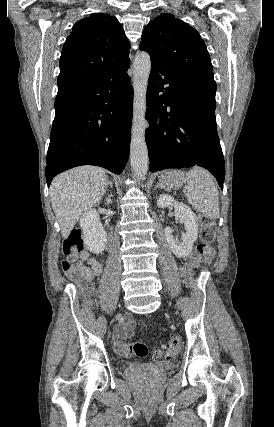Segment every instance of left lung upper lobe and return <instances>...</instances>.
I'll use <instances>...</instances> for the list:
<instances>
[{
  "label": "left lung upper lobe",
  "mask_w": 274,
  "mask_h": 427,
  "mask_svg": "<svg viewBox=\"0 0 274 427\" xmlns=\"http://www.w3.org/2000/svg\"><path fill=\"white\" fill-rule=\"evenodd\" d=\"M140 49L164 69L216 87L210 56L200 34L172 14L162 13L142 32Z\"/></svg>",
  "instance_id": "obj_1"
}]
</instances>
